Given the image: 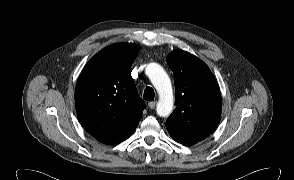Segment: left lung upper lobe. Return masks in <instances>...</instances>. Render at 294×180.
<instances>
[{"mask_svg": "<svg viewBox=\"0 0 294 180\" xmlns=\"http://www.w3.org/2000/svg\"><path fill=\"white\" fill-rule=\"evenodd\" d=\"M167 63L174 74L176 108L167 119L166 128L209 136L222 112L217 80L203 61L186 51H172Z\"/></svg>", "mask_w": 294, "mask_h": 180, "instance_id": "left-lung-upper-lobe-1", "label": "left lung upper lobe"}]
</instances>
